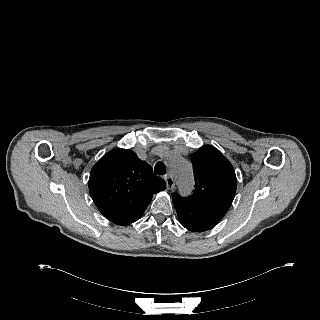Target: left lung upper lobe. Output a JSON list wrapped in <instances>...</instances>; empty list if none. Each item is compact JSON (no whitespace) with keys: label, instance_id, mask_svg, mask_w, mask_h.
I'll list each match as a JSON object with an SVG mask.
<instances>
[{"label":"left lung upper lobe","instance_id":"left-lung-upper-lobe-1","mask_svg":"<svg viewBox=\"0 0 320 320\" xmlns=\"http://www.w3.org/2000/svg\"><path fill=\"white\" fill-rule=\"evenodd\" d=\"M195 190L189 197L179 198L210 210L226 214L236 193V174L229 160L215 147L205 145L191 156Z\"/></svg>","mask_w":320,"mask_h":320}]
</instances>
